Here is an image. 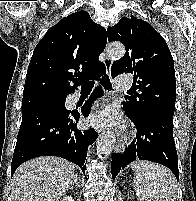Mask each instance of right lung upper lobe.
<instances>
[{
	"instance_id": "1",
	"label": "right lung upper lobe",
	"mask_w": 196,
	"mask_h": 201,
	"mask_svg": "<svg viewBox=\"0 0 196 201\" xmlns=\"http://www.w3.org/2000/svg\"><path fill=\"white\" fill-rule=\"evenodd\" d=\"M105 28L86 11L68 15L51 27L34 49L23 98L33 95L67 96L81 83L105 72L98 60L105 49Z\"/></svg>"
}]
</instances>
